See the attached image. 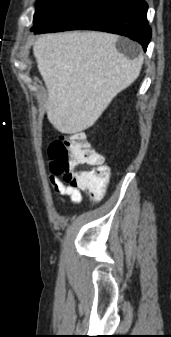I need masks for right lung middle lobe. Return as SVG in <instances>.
Returning a JSON list of instances; mask_svg holds the SVG:
<instances>
[{"label":"right lung middle lobe","mask_w":171,"mask_h":337,"mask_svg":"<svg viewBox=\"0 0 171 337\" xmlns=\"http://www.w3.org/2000/svg\"><path fill=\"white\" fill-rule=\"evenodd\" d=\"M70 0H37L36 12L34 15V26L31 30L38 25L50 20L55 16Z\"/></svg>","instance_id":"dd1d6c3e"}]
</instances>
